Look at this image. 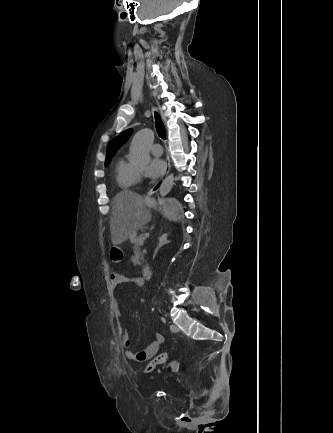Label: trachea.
<instances>
[{"label": "trachea", "instance_id": "3493384b", "mask_svg": "<svg viewBox=\"0 0 333 433\" xmlns=\"http://www.w3.org/2000/svg\"><path fill=\"white\" fill-rule=\"evenodd\" d=\"M155 126L159 137L163 140H166V130L161 117L157 112H155Z\"/></svg>", "mask_w": 333, "mask_h": 433}]
</instances>
